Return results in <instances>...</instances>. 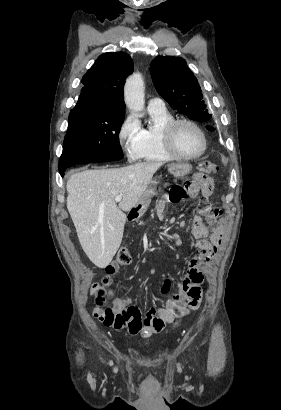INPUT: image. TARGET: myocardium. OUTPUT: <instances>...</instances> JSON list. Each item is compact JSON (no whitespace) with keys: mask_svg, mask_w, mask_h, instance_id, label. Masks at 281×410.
<instances>
[{"mask_svg":"<svg viewBox=\"0 0 281 410\" xmlns=\"http://www.w3.org/2000/svg\"><path fill=\"white\" fill-rule=\"evenodd\" d=\"M181 124H188L194 127L200 133L202 137L203 145H202L201 150L197 154L185 155L181 153L175 146L174 132H175V129ZM162 140H163V143L167 151L171 155H173L176 159H181V160H194V159L201 157L205 153L207 149V145H208L207 135L204 129L197 122L191 119H188V118H176L168 122L162 130Z\"/></svg>","mask_w":281,"mask_h":410,"instance_id":"myocardium-1","label":"myocardium"}]
</instances>
